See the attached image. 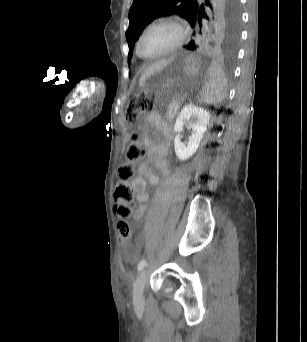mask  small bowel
I'll return each instance as SVG.
<instances>
[{
  "instance_id": "small-bowel-1",
  "label": "small bowel",
  "mask_w": 307,
  "mask_h": 342,
  "mask_svg": "<svg viewBox=\"0 0 307 342\" xmlns=\"http://www.w3.org/2000/svg\"><path fill=\"white\" fill-rule=\"evenodd\" d=\"M144 144L148 150L147 160L140 162L137 166V174L130 180V187L134 193L137 207L133 217L139 220L148 209V194L146 192L147 181L152 185L159 183V178L155 174L152 165L155 166L164 176L169 174L166 156L170 142L174 137V130L163 123L155 113H148L144 117ZM153 129L161 138L159 143H155L148 134L149 129Z\"/></svg>"
}]
</instances>
